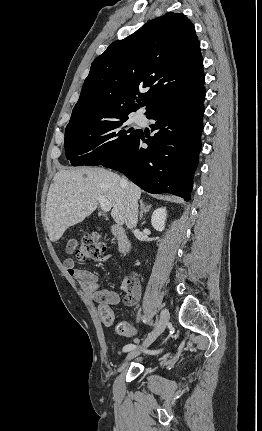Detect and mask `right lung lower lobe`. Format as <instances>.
Here are the masks:
<instances>
[{
  "mask_svg": "<svg viewBox=\"0 0 262 431\" xmlns=\"http://www.w3.org/2000/svg\"><path fill=\"white\" fill-rule=\"evenodd\" d=\"M205 94L202 87L188 99L155 109L147 115L156 121L155 135L146 138L139 132L120 154L101 165L122 172L147 192L171 193L188 201L201 150Z\"/></svg>",
  "mask_w": 262,
  "mask_h": 431,
  "instance_id": "right-lung-lower-lobe-1",
  "label": "right lung lower lobe"
}]
</instances>
